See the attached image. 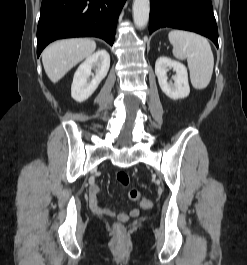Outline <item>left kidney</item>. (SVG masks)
Listing matches in <instances>:
<instances>
[{
  "instance_id": "5707ae66",
  "label": "left kidney",
  "mask_w": 247,
  "mask_h": 265,
  "mask_svg": "<svg viewBox=\"0 0 247 265\" xmlns=\"http://www.w3.org/2000/svg\"><path fill=\"white\" fill-rule=\"evenodd\" d=\"M168 69H173L176 72V75L173 77L174 83H168L167 81ZM155 74L161 90L169 98L178 100L189 95L190 87L187 69L182 63L173 61L167 57H160L155 64Z\"/></svg>"
}]
</instances>
